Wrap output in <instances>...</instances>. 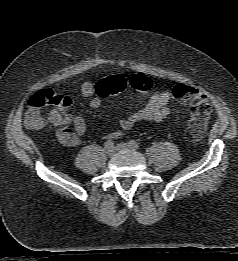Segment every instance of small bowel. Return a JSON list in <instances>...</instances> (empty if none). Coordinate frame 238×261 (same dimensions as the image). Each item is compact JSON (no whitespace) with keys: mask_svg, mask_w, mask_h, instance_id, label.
<instances>
[{"mask_svg":"<svg viewBox=\"0 0 238 261\" xmlns=\"http://www.w3.org/2000/svg\"><path fill=\"white\" fill-rule=\"evenodd\" d=\"M81 93L83 96L90 98L89 104L92 108L97 109L102 106L105 97L97 93L95 83L91 81L83 82ZM171 99V94L168 92H153L147 105L122 118L119 121V130L110 134V137L117 138L121 136L140 121L160 122L164 120L170 113L169 104ZM48 121L55 127V134L59 142L67 147L79 145L81 137L86 132L84 119L67 114L64 110H51Z\"/></svg>","mask_w":238,"mask_h":261,"instance_id":"obj_1","label":"small bowel"}]
</instances>
